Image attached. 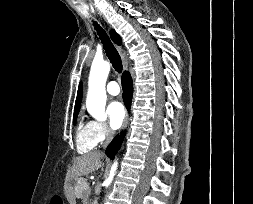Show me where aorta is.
Returning a JSON list of instances; mask_svg holds the SVG:
<instances>
[{
  "instance_id": "762f6f07",
  "label": "aorta",
  "mask_w": 253,
  "mask_h": 204,
  "mask_svg": "<svg viewBox=\"0 0 253 204\" xmlns=\"http://www.w3.org/2000/svg\"><path fill=\"white\" fill-rule=\"evenodd\" d=\"M110 71L108 62H94L91 66L89 81H88V94L86 99L87 110L92 117L99 121L106 119L105 105H106V90L105 84ZM117 162H114L108 178L105 180L104 185L108 187L112 182L116 169Z\"/></svg>"
}]
</instances>
